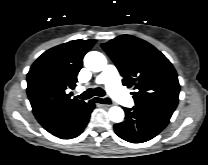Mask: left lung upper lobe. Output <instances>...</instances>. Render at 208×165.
Masks as SVG:
<instances>
[{
  "mask_svg": "<svg viewBox=\"0 0 208 165\" xmlns=\"http://www.w3.org/2000/svg\"><path fill=\"white\" fill-rule=\"evenodd\" d=\"M102 48L123 77V85L133 87L135 106L174 112L180 85L170 61L148 42L131 35H121Z\"/></svg>",
  "mask_w": 208,
  "mask_h": 165,
  "instance_id": "1",
  "label": "left lung upper lobe"
}]
</instances>
